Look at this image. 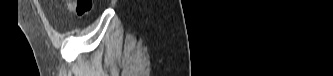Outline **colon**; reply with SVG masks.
<instances>
[{
    "instance_id": "colon-1",
    "label": "colon",
    "mask_w": 333,
    "mask_h": 76,
    "mask_svg": "<svg viewBox=\"0 0 333 76\" xmlns=\"http://www.w3.org/2000/svg\"><path fill=\"white\" fill-rule=\"evenodd\" d=\"M68 9L74 11L78 16L88 14L93 8V0H74L66 3Z\"/></svg>"
}]
</instances>
